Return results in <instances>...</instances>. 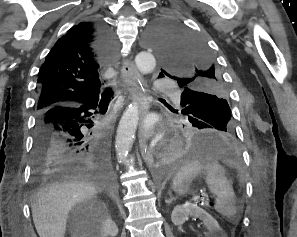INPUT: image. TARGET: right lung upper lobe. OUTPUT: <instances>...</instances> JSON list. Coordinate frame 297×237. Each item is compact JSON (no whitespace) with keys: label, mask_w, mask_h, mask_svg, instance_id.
Instances as JSON below:
<instances>
[{"label":"right lung upper lobe","mask_w":297,"mask_h":237,"mask_svg":"<svg viewBox=\"0 0 297 237\" xmlns=\"http://www.w3.org/2000/svg\"><path fill=\"white\" fill-rule=\"evenodd\" d=\"M99 25L79 23L51 49L39 71L37 112L99 98L101 74L111 57V39L107 45H101Z\"/></svg>","instance_id":"obj_1"}]
</instances>
